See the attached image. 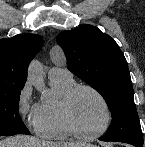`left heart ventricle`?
<instances>
[{
  "label": "left heart ventricle",
  "mask_w": 145,
  "mask_h": 147,
  "mask_svg": "<svg viewBox=\"0 0 145 147\" xmlns=\"http://www.w3.org/2000/svg\"><path fill=\"white\" fill-rule=\"evenodd\" d=\"M73 114L78 125L87 132L100 130L106 121L101 101L88 90L80 91L73 101Z\"/></svg>",
  "instance_id": "b2bd125f"
}]
</instances>
